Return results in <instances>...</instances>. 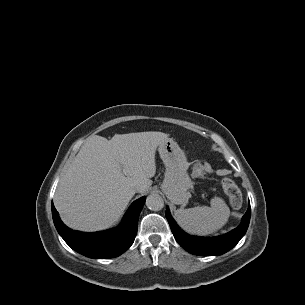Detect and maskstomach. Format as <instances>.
<instances>
[{"label": "stomach", "instance_id": "stomach-1", "mask_svg": "<svg viewBox=\"0 0 305 305\" xmlns=\"http://www.w3.org/2000/svg\"><path fill=\"white\" fill-rule=\"evenodd\" d=\"M158 151L166 167L161 188L171 202L183 205L189 199L192 187L186 155L172 139L162 142Z\"/></svg>", "mask_w": 305, "mask_h": 305}]
</instances>
